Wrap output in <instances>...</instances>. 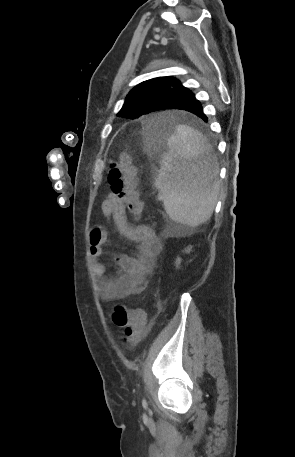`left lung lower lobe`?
<instances>
[{"label": "left lung lower lobe", "instance_id": "left-lung-lower-lobe-1", "mask_svg": "<svg viewBox=\"0 0 295 457\" xmlns=\"http://www.w3.org/2000/svg\"><path fill=\"white\" fill-rule=\"evenodd\" d=\"M163 109L186 110L207 122V117L203 113L202 105L198 100H196L194 94L188 89L182 90L165 98L157 105H155L152 112ZM166 130H168V125L166 123H156L151 126V131L156 134L162 133Z\"/></svg>", "mask_w": 295, "mask_h": 457}]
</instances>
